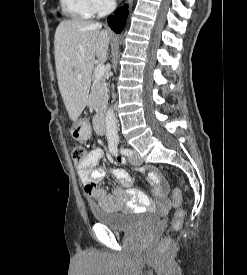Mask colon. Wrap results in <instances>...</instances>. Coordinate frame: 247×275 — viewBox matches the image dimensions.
Segmentation results:
<instances>
[{"instance_id":"1","label":"colon","mask_w":247,"mask_h":275,"mask_svg":"<svg viewBox=\"0 0 247 275\" xmlns=\"http://www.w3.org/2000/svg\"><path fill=\"white\" fill-rule=\"evenodd\" d=\"M86 155H87L86 149L83 146L81 145L74 146L72 150V158L77 164L82 162L85 159ZM85 190L88 194H91L94 190V186L92 184H89L85 187ZM181 199H182V196H181L180 189L175 188L173 190V204L178 208L176 209L174 218L171 222V228L174 231H177L182 227L183 220L185 217L184 209L179 207L181 203ZM163 245L167 246L168 240H165Z\"/></svg>"}]
</instances>
